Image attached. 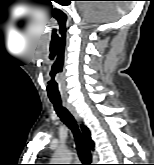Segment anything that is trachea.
I'll list each match as a JSON object with an SVG mask.
<instances>
[{"label": "trachea", "mask_w": 154, "mask_h": 165, "mask_svg": "<svg viewBox=\"0 0 154 165\" xmlns=\"http://www.w3.org/2000/svg\"><path fill=\"white\" fill-rule=\"evenodd\" d=\"M50 101L52 102L54 109L57 115L62 120V122L66 124L72 130V133L75 138L78 156H79V159L83 163L81 165H91V160H92L91 152L82 139V136L80 134V131L78 129V126L76 124L74 117L62 105V101L60 98H50Z\"/></svg>", "instance_id": "trachea-1"}]
</instances>
